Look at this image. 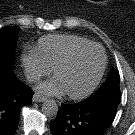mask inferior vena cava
Here are the masks:
<instances>
[{
	"label": "inferior vena cava",
	"mask_w": 135,
	"mask_h": 135,
	"mask_svg": "<svg viewBox=\"0 0 135 135\" xmlns=\"http://www.w3.org/2000/svg\"><path fill=\"white\" fill-rule=\"evenodd\" d=\"M28 79H29L30 82H36L37 80L40 79V76L33 73L28 77Z\"/></svg>",
	"instance_id": "602c4592"
}]
</instances>
